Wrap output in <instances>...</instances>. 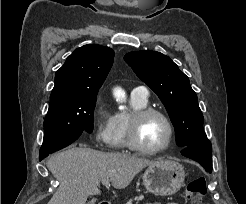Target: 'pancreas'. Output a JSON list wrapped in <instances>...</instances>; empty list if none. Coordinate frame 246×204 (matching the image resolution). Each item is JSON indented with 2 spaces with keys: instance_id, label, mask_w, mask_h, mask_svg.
Masks as SVG:
<instances>
[{
  "instance_id": "pancreas-1",
  "label": "pancreas",
  "mask_w": 246,
  "mask_h": 204,
  "mask_svg": "<svg viewBox=\"0 0 246 204\" xmlns=\"http://www.w3.org/2000/svg\"><path fill=\"white\" fill-rule=\"evenodd\" d=\"M144 196L140 195L134 198V200L136 201V204H138L139 201L143 200ZM133 199H130L129 201L126 202V204H132Z\"/></svg>"
}]
</instances>
